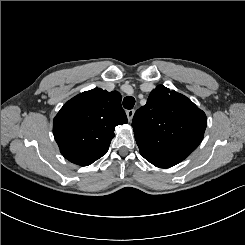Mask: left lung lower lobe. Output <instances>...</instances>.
I'll return each mask as SVG.
<instances>
[{"label": "left lung lower lobe", "instance_id": "obj_1", "mask_svg": "<svg viewBox=\"0 0 245 245\" xmlns=\"http://www.w3.org/2000/svg\"><path fill=\"white\" fill-rule=\"evenodd\" d=\"M149 162L155 165L156 167L169 168L178 164L181 161L172 156L158 155Z\"/></svg>", "mask_w": 245, "mask_h": 245}]
</instances>
